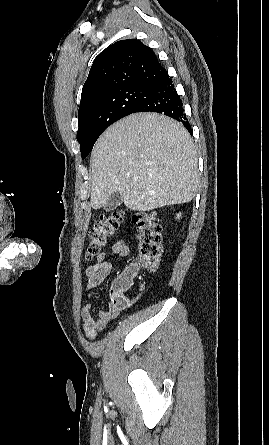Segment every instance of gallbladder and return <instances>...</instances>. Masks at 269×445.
Here are the masks:
<instances>
[{
    "instance_id": "obj_1",
    "label": "gallbladder",
    "mask_w": 269,
    "mask_h": 445,
    "mask_svg": "<svg viewBox=\"0 0 269 445\" xmlns=\"http://www.w3.org/2000/svg\"><path fill=\"white\" fill-rule=\"evenodd\" d=\"M123 202L122 196L119 192H114L108 199L104 209L106 211H112L120 206Z\"/></svg>"
}]
</instances>
